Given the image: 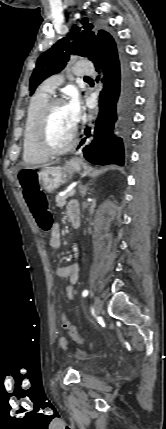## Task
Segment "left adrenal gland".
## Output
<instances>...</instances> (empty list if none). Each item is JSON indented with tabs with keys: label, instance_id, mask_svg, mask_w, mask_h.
<instances>
[{
	"label": "left adrenal gland",
	"instance_id": "left-adrenal-gland-1",
	"mask_svg": "<svg viewBox=\"0 0 166 429\" xmlns=\"http://www.w3.org/2000/svg\"><path fill=\"white\" fill-rule=\"evenodd\" d=\"M79 188H80V193L82 197H84L86 195V186L80 185Z\"/></svg>",
	"mask_w": 166,
	"mask_h": 429
}]
</instances>
